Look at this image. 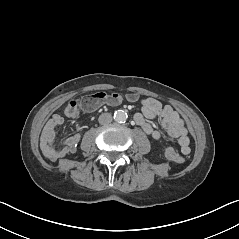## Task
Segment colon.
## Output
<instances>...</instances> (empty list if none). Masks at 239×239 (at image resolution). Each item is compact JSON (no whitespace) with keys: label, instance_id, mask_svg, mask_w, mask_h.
<instances>
[{"label":"colon","instance_id":"obj_1","mask_svg":"<svg viewBox=\"0 0 239 239\" xmlns=\"http://www.w3.org/2000/svg\"><path fill=\"white\" fill-rule=\"evenodd\" d=\"M125 98L129 101H134L136 100V95L128 94ZM123 99V96L117 93L96 92L84 97L80 102L75 100L70 101L65 108L64 113H66L69 117H75L78 115L80 108H94L102 104L116 105L122 102ZM166 156L173 162H184V157L178 154L173 148H168L166 150Z\"/></svg>","mask_w":239,"mask_h":239}]
</instances>
